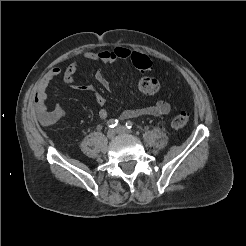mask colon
<instances>
[{
  "label": "colon",
  "mask_w": 246,
  "mask_h": 246,
  "mask_svg": "<svg viewBox=\"0 0 246 246\" xmlns=\"http://www.w3.org/2000/svg\"><path fill=\"white\" fill-rule=\"evenodd\" d=\"M131 60L136 68L147 71L151 68V60L144 54L132 52ZM138 88L141 92L154 95L159 92V81L151 76H143L138 81ZM189 121V114L186 111H180L172 120V126L175 128L184 127Z\"/></svg>",
  "instance_id": "1"
}]
</instances>
